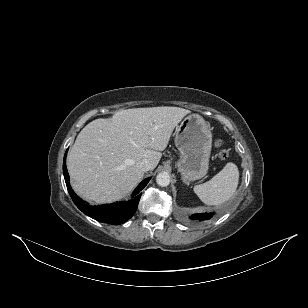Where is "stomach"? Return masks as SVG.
Instances as JSON below:
<instances>
[{"label":"stomach","mask_w":308,"mask_h":308,"mask_svg":"<svg viewBox=\"0 0 308 308\" xmlns=\"http://www.w3.org/2000/svg\"><path fill=\"white\" fill-rule=\"evenodd\" d=\"M175 145L180 152L176 167L185 183L207 174L212 148V133L204 118L190 114L177 126Z\"/></svg>","instance_id":"0dacf381"}]
</instances>
